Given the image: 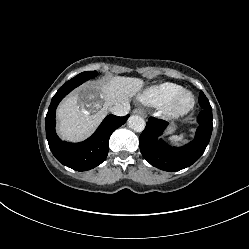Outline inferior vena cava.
Instances as JSON below:
<instances>
[{
  "instance_id": "602c4592",
  "label": "inferior vena cava",
  "mask_w": 249,
  "mask_h": 249,
  "mask_svg": "<svg viewBox=\"0 0 249 249\" xmlns=\"http://www.w3.org/2000/svg\"><path fill=\"white\" fill-rule=\"evenodd\" d=\"M130 109L129 103H124V104H117L115 106H112L110 108V111L112 114L117 115V116H125Z\"/></svg>"
}]
</instances>
